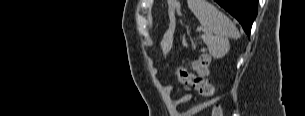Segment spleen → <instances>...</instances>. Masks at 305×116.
Returning <instances> with one entry per match:
<instances>
[{
    "instance_id": "spleen-1",
    "label": "spleen",
    "mask_w": 305,
    "mask_h": 116,
    "mask_svg": "<svg viewBox=\"0 0 305 116\" xmlns=\"http://www.w3.org/2000/svg\"><path fill=\"white\" fill-rule=\"evenodd\" d=\"M188 6L199 20L201 26L211 36L208 41L210 48L216 45L228 48V38H239L240 33L234 23L214 5L206 0H188Z\"/></svg>"
}]
</instances>
